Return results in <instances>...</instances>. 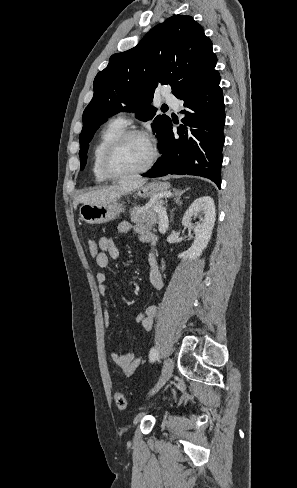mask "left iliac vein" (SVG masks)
<instances>
[{
  "instance_id": "obj_1",
  "label": "left iliac vein",
  "mask_w": 297,
  "mask_h": 488,
  "mask_svg": "<svg viewBox=\"0 0 297 488\" xmlns=\"http://www.w3.org/2000/svg\"><path fill=\"white\" fill-rule=\"evenodd\" d=\"M173 368H174V364L172 359L170 358L165 359L163 364L162 374L160 376L157 385L153 389L152 393L157 392L170 379L173 372Z\"/></svg>"
}]
</instances>
